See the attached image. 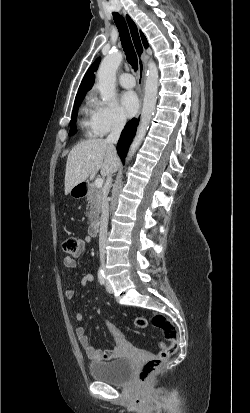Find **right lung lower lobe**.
I'll list each match as a JSON object with an SVG mask.
<instances>
[{
    "label": "right lung lower lobe",
    "instance_id": "98d812e1",
    "mask_svg": "<svg viewBox=\"0 0 250 413\" xmlns=\"http://www.w3.org/2000/svg\"><path fill=\"white\" fill-rule=\"evenodd\" d=\"M138 124H139V119L133 118L126 124V126L124 127L121 133L120 139L117 144V151L123 163H124L127 151L129 149V145L135 136Z\"/></svg>",
    "mask_w": 250,
    "mask_h": 413
}]
</instances>
